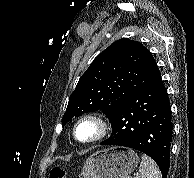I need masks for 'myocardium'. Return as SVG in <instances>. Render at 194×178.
Segmentation results:
<instances>
[{"label":"myocardium","mask_w":194,"mask_h":178,"mask_svg":"<svg viewBox=\"0 0 194 178\" xmlns=\"http://www.w3.org/2000/svg\"><path fill=\"white\" fill-rule=\"evenodd\" d=\"M85 122H92L95 124L96 134L91 139L82 141L77 137V129L81 124ZM110 131H111V124L109 120L100 113L92 112V113H87L76 120L72 129V136H73V139L79 144L91 145L105 139L109 135Z\"/></svg>","instance_id":"f54148a6"}]
</instances>
